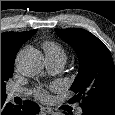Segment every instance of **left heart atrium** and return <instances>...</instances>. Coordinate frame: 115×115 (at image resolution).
I'll use <instances>...</instances> for the list:
<instances>
[{"instance_id":"left-heart-atrium-1","label":"left heart atrium","mask_w":115,"mask_h":115,"mask_svg":"<svg viewBox=\"0 0 115 115\" xmlns=\"http://www.w3.org/2000/svg\"><path fill=\"white\" fill-rule=\"evenodd\" d=\"M53 88H59V86L58 85H56V86H54ZM34 94H35V96L38 98V99H40V100H42V101H47V100H49V92H48V90L47 89H45V88H43V87H38V88H36L35 89V91H34Z\"/></svg>"}]
</instances>
